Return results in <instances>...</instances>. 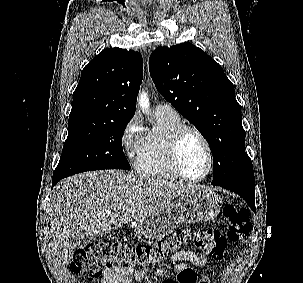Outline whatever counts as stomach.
<instances>
[{
	"label": "stomach",
	"instance_id": "obj_1",
	"mask_svg": "<svg viewBox=\"0 0 303 283\" xmlns=\"http://www.w3.org/2000/svg\"><path fill=\"white\" fill-rule=\"evenodd\" d=\"M220 200L212 191L201 189L178 197L164 210L136 222L138 233L150 240L164 238L180 223H196L215 218Z\"/></svg>",
	"mask_w": 303,
	"mask_h": 283
}]
</instances>
